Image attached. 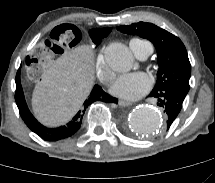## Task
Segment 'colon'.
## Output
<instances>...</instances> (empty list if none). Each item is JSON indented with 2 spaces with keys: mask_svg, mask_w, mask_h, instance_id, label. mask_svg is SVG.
<instances>
[{
  "mask_svg": "<svg viewBox=\"0 0 215 183\" xmlns=\"http://www.w3.org/2000/svg\"><path fill=\"white\" fill-rule=\"evenodd\" d=\"M82 34L79 24L64 20L48 32L34 40L26 61L24 72L32 80L45 78L55 61L80 47Z\"/></svg>",
  "mask_w": 215,
  "mask_h": 183,
  "instance_id": "colon-1",
  "label": "colon"
}]
</instances>
